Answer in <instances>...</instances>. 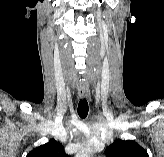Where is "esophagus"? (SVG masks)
<instances>
[{
    "label": "esophagus",
    "mask_w": 164,
    "mask_h": 157,
    "mask_svg": "<svg viewBox=\"0 0 164 157\" xmlns=\"http://www.w3.org/2000/svg\"><path fill=\"white\" fill-rule=\"evenodd\" d=\"M90 96L88 90H79V97L81 99L88 98Z\"/></svg>",
    "instance_id": "34e87169"
}]
</instances>
